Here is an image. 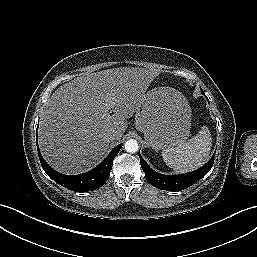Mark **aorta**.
Segmentation results:
<instances>
[{
  "label": "aorta",
  "mask_w": 257,
  "mask_h": 257,
  "mask_svg": "<svg viewBox=\"0 0 257 257\" xmlns=\"http://www.w3.org/2000/svg\"><path fill=\"white\" fill-rule=\"evenodd\" d=\"M124 148L129 153H135L138 151V142L135 139L127 140L124 144Z\"/></svg>",
  "instance_id": "obj_1"
}]
</instances>
